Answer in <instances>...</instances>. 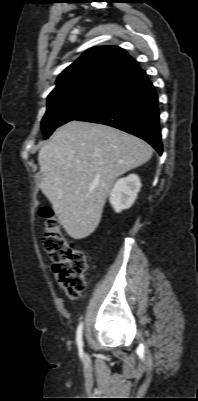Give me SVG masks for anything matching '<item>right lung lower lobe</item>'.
<instances>
[{
  "instance_id": "right-lung-lower-lobe-1",
  "label": "right lung lower lobe",
  "mask_w": 198,
  "mask_h": 401,
  "mask_svg": "<svg viewBox=\"0 0 198 401\" xmlns=\"http://www.w3.org/2000/svg\"><path fill=\"white\" fill-rule=\"evenodd\" d=\"M76 120L118 128L144 139L162 154L158 98L141 68L110 87L93 109Z\"/></svg>"
}]
</instances>
